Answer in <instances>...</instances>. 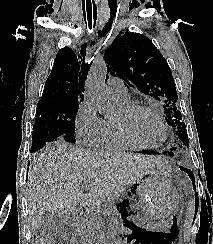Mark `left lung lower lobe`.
<instances>
[{"instance_id": "left-lung-lower-lobe-1", "label": "left lung lower lobe", "mask_w": 213, "mask_h": 244, "mask_svg": "<svg viewBox=\"0 0 213 244\" xmlns=\"http://www.w3.org/2000/svg\"><path fill=\"white\" fill-rule=\"evenodd\" d=\"M145 154H155L154 152L150 151V150H145L144 151ZM170 155L173 156V153H170ZM180 168L184 171H186L189 175V177L191 178L192 182H193V185H194V190L196 192V186H195V179H194V175L193 173L191 172V170L189 169H186V168H183L180 166ZM196 200L197 199V195H196ZM128 206V203L126 201H123L122 203L118 204V207H120V211L122 212V215H124V212H125V207ZM125 216V215H124Z\"/></svg>"}]
</instances>
